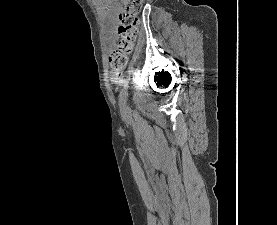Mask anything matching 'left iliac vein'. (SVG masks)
I'll use <instances>...</instances> for the list:
<instances>
[{
    "label": "left iliac vein",
    "mask_w": 277,
    "mask_h": 225,
    "mask_svg": "<svg viewBox=\"0 0 277 225\" xmlns=\"http://www.w3.org/2000/svg\"><path fill=\"white\" fill-rule=\"evenodd\" d=\"M123 111L126 113L127 112V107L126 104H124V106L122 107Z\"/></svg>",
    "instance_id": "4c4485c4"
}]
</instances>
